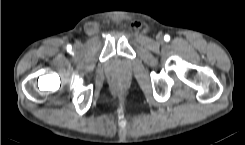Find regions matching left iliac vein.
Segmentation results:
<instances>
[{
  "label": "left iliac vein",
  "instance_id": "4c4485c4",
  "mask_svg": "<svg viewBox=\"0 0 245 145\" xmlns=\"http://www.w3.org/2000/svg\"><path fill=\"white\" fill-rule=\"evenodd\" d=\"M158 40H159V41H162V40H163V38H162V37H158Z\"/></svg>",
  "mask_w": 245,
  "mask_h": 145
}]
</instances>
